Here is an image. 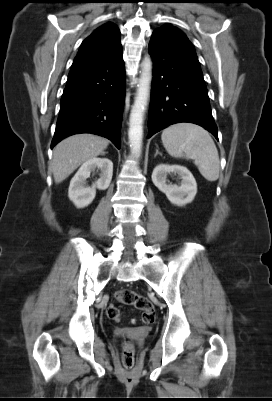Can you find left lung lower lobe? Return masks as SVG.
Wrapping results in <instances>:
<instances>
[{
    "label": "left lung lower lobe",
    "mask_w": 272,
    "mask_h": 401,
    "mask_svg": "<svg viewBox=\"0 0 272 401\" xmlns=\"http://www.w3.org/2000/svg\"><path fill=\"white\" fill-rule=\"evenodd\" d=\"M153 82L148 138L169 125L190 122L204 127L218 140L198 57L154 31L149 43Z\"/></svg>",
    "instance_id": "obj_1"
}]
</instances>
